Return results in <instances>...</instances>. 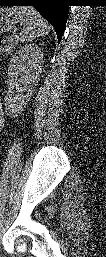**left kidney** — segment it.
<instances>
[{
    "mask_svg": "<svg viewBox=\"0 0 106 257\" xmlns=\"http://www.w3.org/2000/svg\"><path fill=\"white\" fill-rule=\"evenodd\" d=\"M43 54L36 45L21 47L11 58L8 68V89L5 106L11 112L22 109L37 85L42 70Z\"/></svg>",
    "mask_w": 106,
    "mask_h": 257,
    "instance_id": "left-kidney-1",
    "label": "left kidney"
}]
</instances>
